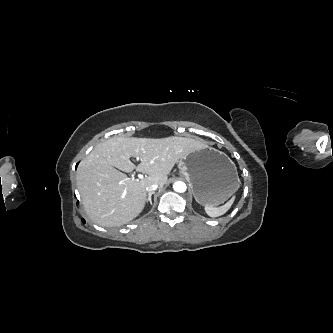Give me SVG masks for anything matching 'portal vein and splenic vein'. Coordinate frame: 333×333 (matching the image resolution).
<instances>
[{
  "label": "portal vein and splenic vein",
  "mask_w": 333,
  "mask_h": 333,
  "mask_svg": "<svg viewBox=\"0 0 333 333\" xmlns=\"http://www.w3.org/2000/svg\"><path fill=\"white\" fill-rule=\"evenodd\" d=\"M137 160H139V158H137ZM138 177H139V179H143L144 178V176L142 174H139ZM127 181H130V179H128Z\"/></svg>",
  "instance_id": "18ae733b"
}]
</instances>
